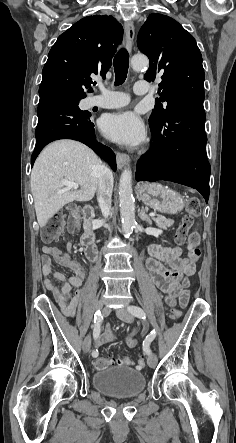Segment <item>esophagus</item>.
<instances>
[{
    "mask_svg": "<svg viewBox=\"0 0 236 443\" xmlns=\"http://www.w3.org/2000/svg\"><path fill=\"white\" fill-rule=\"evenodd\" d=\"M124 29L126 33V46L127 50L130 51L133 45L134 37H135V28L132 21L127 20L124 23ZM117 167L122 169L125 165H127L130 161V158L127 154L117 152L116 155Z\"/></svg>",
    "mask_w": 236,
    "mask_h": 443,
    "instance_id": "obj_1",
    "label": "esophagus"
}]
</instances>
